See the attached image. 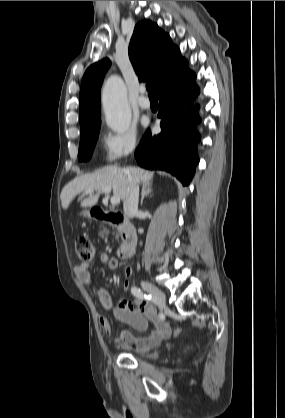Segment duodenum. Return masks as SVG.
I'll use <instances>...</instances> for the list:
<instances>
[{
    "label": "duodenum",
    "instance_id": "duodenum-1",
    "mask_svg": "<svg viewBox=\"0 0 285 418\" xmlns=\"http://www.w3.org/2000/svg\"><path fill=\"white\" fill-rule=\"evenodd\" d=\"M94 219L115 226L121 233L123 244L118 254L122 259L133 256L137 243V233L134 227L128 223L123 213L113 210L95 209Z\"/></svg>",
    "mask_w": 285,
    "mask_h": 418
}]
</instances>
